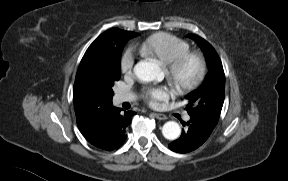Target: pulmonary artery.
<instances>
[{
	"label": "pulmonary artery",
	"mask_w": 288,
	"mask_h": 181,
	"mask_svg": "<svg viewBox=\"0 0 288 181\" xmlns=\"http://www.w3.org/2000/svg\"><path fill=\"white\" fill-rule=\"evenodd\" d=\"M132 99H133V96L125 92H117L114 97V100L116 103L127 102V101H131ZM189 119H190V116L186 115L185 120L188 121Z\"/></svg>",
	"instance_id": "e3ab8cb5"
}]
</instances>
